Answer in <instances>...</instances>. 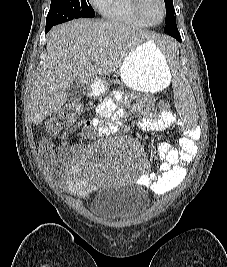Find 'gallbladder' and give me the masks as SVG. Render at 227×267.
<instances>
[{
    "label": "gallbladder",
    "mask_w": 227,
    "mask_h": 267,
    "mask_svg": "<svg viewBox=\"0 0 227 267\" xmlns=\"http://www.w3.org/2000/svg\"><path fill=\"white\" fill-rule=\"evenodd\" d=\"M87 86L82 85L78 82H73L69 85L66 90L67 101L71 104H74L82 99L86 94Z\"/></svg>",
    "instance_id": "bac80fb5"
}]
</instances>
